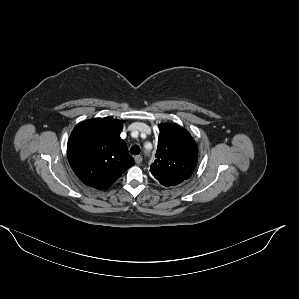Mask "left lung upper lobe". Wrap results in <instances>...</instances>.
Listing matches in <instances>:
<instances>
[{"label": "left lung upper lobe", "mask_w": 299, "mask_h": 299, "mask_svg": "<svg viewBox=\"0 0 299 299\" xmlns=\"http://www.w3.org/2000/svg\"><path fill=\"white\" fill-rule=\"evenodd\" d=\"M156 160L150 172L159 181L187 180L198 161V148L192 136L177 124H159Z\"/></svg>", "instance_id": "1"}]
</instances>
